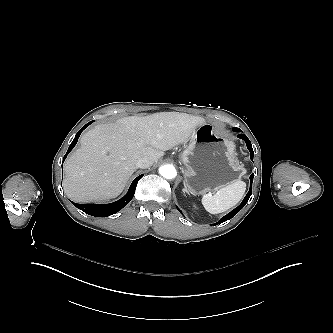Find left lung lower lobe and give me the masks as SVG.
<instances>
[{
  "mask_svg": "<svg viewBox=\"0 0 333 333\" xmlns=\"http://www.w3.org/2000/svg\"><path fill=\"white\" fill-rule=\"evenodd\" d=\"M233 131L235 132H242L239 128H233ZM239 138L243 139L247 145V148L248 150L250 151V154H251V159L253 158V155H254V152H253V149H252V145H251V142L250 140L247 138V136L245 134H239L238 135ZM250 182H251V186H250V189L247 193V195L245 196V198L243 199L242 203L236 207L234 210H232L230 213H228L227 215H225L224 217H222L219 222H217L216 224H219V223H223L227 220H230L232 217H234L245 205L246 203L248 202L250 196H251V193H252V182H253V174L250 176Z\"/></svg>",
  "mask_w": 333,
  "mask_h": 333,
  "instance_id": "0a47b994",
  "label": "left lung lower lobe"
}]
</instances>
